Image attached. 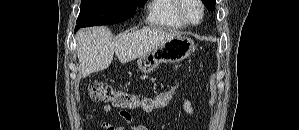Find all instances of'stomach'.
Segmentation results:
<instances>
[{
	"label": "stomach",
	"mask_w": 299,
	"mask_h": 130,
	"mask_svg": "<svg viewBox=\"0 0 299 130\" xmlns=\"http://www.w3.org/2000/svg\"><path fill=\"white\" fill-rule=\"evenodd\" d=\"M195 50L194 41L185 36H175L161 43L149 53L139 57L138 68L143 73L153 72L160 63H177L189 57Z\"/></svg>",
	"instance_id": "0dacf381"
}]
</instances>
